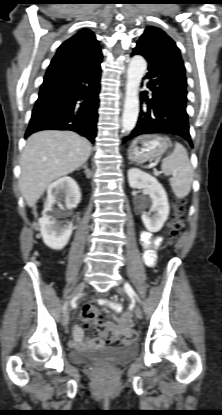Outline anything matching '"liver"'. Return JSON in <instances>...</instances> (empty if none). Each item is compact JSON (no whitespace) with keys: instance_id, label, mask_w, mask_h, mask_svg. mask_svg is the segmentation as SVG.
<instances>
[{"instance_id":"6515ba94","label":"liver","mask_w":222,"mask_h":415,"mask_svg":"<svg viewBox=\"0 0 222 415\" xmlns=\"http://www.w3.org/2000/svg\"><path fill=\"white\" fill-rule=\"evenodd\" d=\"M91 143L72 131L47 130L27 139L21 156L19 188L29 207L35 206L46 188L89 158Z\"/></svg>"}]
</instances>
